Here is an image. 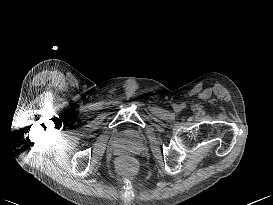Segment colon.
I'll list each match as a JSON object with an SVG mask.
<instances>
[{"mask_svg":"<svg viewBox=\"0 0 273 205\" xmlns=\"http://www.w3.org/2000/svg\"><path fill=\"white\" fill-rule=\"evenodd\" d=\"M118 168L122 174L128 175L134 170L135 163L130 158H123L119 161Z\"/></svg>","mask_w":273,"mask_h":205,"instance_id":"1","label":"colon"}]
</instances>
